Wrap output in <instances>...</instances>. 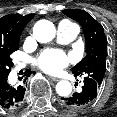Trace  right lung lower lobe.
<instances>
[{
    "label": "right lung lower lobe",
    "mask_w": 117,
    "mask_h": 117,
    "mask_svg": "<svg viewBox=\"0 0 117 117\" xmlns=\"http://www.w3.org/2000/svg\"><path fill=\"white\" fill-rule=\"evenodd\" d=\"M31 74V71H27ZM8 75L0 77V106L4 109H14L23 102L25 87L22 85L11 86L7 82Z\"/></svg>",
    "instance_id": "1"
}]
</instances>
